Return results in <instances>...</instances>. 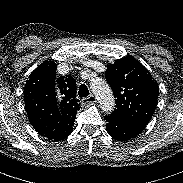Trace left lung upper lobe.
Wrapping results in <instances>:
<instances>
[{
  "label": "left lung upper lobe",
  "instance_id": "1",
  "mask_svg": "<svg viewBox=\"0 0 183 183\" xmlns=\"http://www.w3.org/2000/svg\"><path fill=\"white\" fill-rule=\"evenodd\" d=\"M105 78L116 103L110 116L146 127L155 111L159 94L158 84L149 71L128 56L108 65Z\"/></svg>",
  "mask_w": 183,
  "mask_h": 183
}]
</instances>
